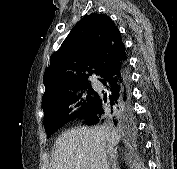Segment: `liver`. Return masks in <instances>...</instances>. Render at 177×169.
Here are the masks:
<instances>
[{"label":"liver","mask_w":177,"mask_h":169,"mask_svg":"<svg viewBox=\"0 0 177 169\" xmlns=\"http://www.w3.org/2000/svg\"><path fill=\"white\" fill-rule=\"evenodd\" d=\"M111 128H77L63 133L55 142L51 169H110L109 146L120 141Z\"/></svg>","instance_id":"liver-1"}]
</instances>
